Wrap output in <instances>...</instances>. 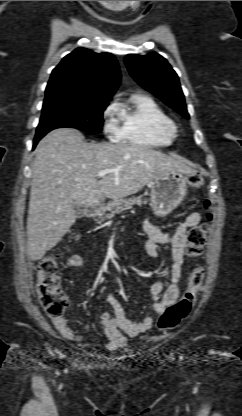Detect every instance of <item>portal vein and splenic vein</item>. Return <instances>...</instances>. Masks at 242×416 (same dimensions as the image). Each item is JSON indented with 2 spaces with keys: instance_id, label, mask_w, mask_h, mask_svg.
Wrapping results in <instances>:
<instances>
[{
  "instance_id": "portal-vein-and-splenic-vein-1",
  "label": "portal vein and splenic vein",
  "mask_w": 242,
  "mask_h": 416,
  "mask_svg": "<svg viewBox=\"0 0 242 416\" xmlns=\"http://www.w3.org/2000/svg\"><path fill=\"white\" fill-rule=\"evenodd\" d=\"M112 170H102L98 172V177H104L106 176L108 173H110Z\"/></svg>"
}]
</instances>
